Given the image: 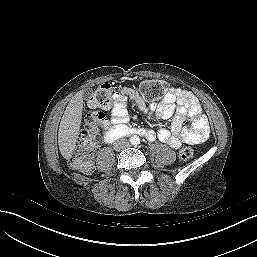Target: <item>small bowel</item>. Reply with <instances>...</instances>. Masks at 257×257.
Instances as JSON below:
<instances>
[{
    "instance_id": "1",
    "label": "small bowel",
    "mask_w": 257,
    "mask_h": 257,
    "mask_svg": "<svg viewBox=\"0 0 257 257\" xmlns=\"http://www.w3.org/2000/svg\"><path fill=\"white\" fill-rule=\"evenodd\" d=\"M127 98L132 100L134 107L144 114H154L159 119L172 118L170 129H160L158 132L148 130L146 137L149 140L157 137L172 148L178 149L183 144L200 143L209 137L208 120L202 113L197 98L189 91L179 87L170 88L159 104L148 106L135 89L124 87L115 93L110 119L106 120L102 127L104 141L108 131L128 122ZM186 117L191 120V127L184 126Z\"/></svg>"
}]
</instances>
